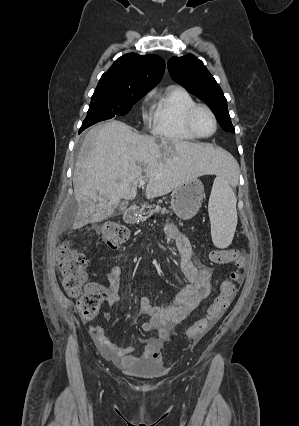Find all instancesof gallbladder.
I'll list each match as a JSON object with an SVG mask.
<instances>
[{"label": "gallbladder", "instance_id": "obj_1", "mask_svg": "<svg viewBox=\"0 0 299 426\" xmlns=\"http://www.w3.org/2000/svg\"><path fill=\"white\" fill-rule=\"evenodd\" d=\"M122 207L124 208V207H125V205H121V206H120V209H121V210H123V208H122Z\"/></svg>", "mask_w": 299, "mask_h": 426}]
</instances>
